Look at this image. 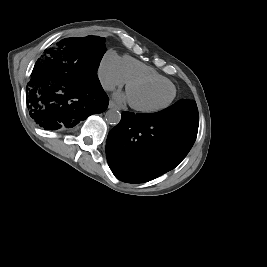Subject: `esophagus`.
<instances>
[{
    "mask_svg": "<svg viewBox=\"0 0 267 267\" xmlns=\"http://www.w3.org/2000/svg\"><path fill=\"white\" fill-rule=\"evenodd\" d=\"M110 109H120L114 101L110 100L109 101V106H108Z\"/></svg>",
    "mask_w": 267,
    "mask_h": 267,
    "instance_id": "1",
    "label": "esophagus"
}]
</instances>
